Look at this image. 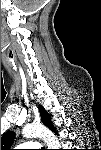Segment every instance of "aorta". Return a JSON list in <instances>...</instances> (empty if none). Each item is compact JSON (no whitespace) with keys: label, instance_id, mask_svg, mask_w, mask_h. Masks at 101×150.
<instances>
[{"label":"aorta","instance_id":"1","mask_svg":"<svg viewBox=\"0 0 101 150\" xmlns=\"http://www.w3.org/2000/svg\"><path fill=\"white\" fill-rule=\"evenodd\" d=\"M22 134L26 138H31V137L43 138L44 142L51 149H58V147L60 146L57 137L49 129H47L41 124L27 125L23 129Z\"/></svg>","mask_w":101,"mask_h":150}]
</instances>
